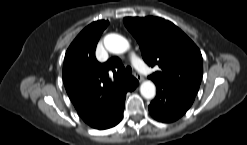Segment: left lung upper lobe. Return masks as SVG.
I'll return each instance as SVG.
<instances>
[{"label": "left lung upper lobe", "mask_w": 247, "mask_h": 145, "mask_svg": "<svg viewBox=\"0 0 247 145\" xmlns=\"http://www.w3.org/2000/svg\"><path fill=\"white\" fill-rule=\"evenodd\" d=\"M144 61L160 70L149 76L196 95L203 75L202 55L193 41L170 21L159 17H126Z\"/></svg>", "instance_id": "1"}]
</instances>
